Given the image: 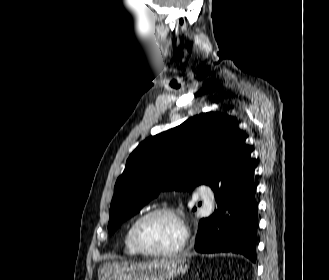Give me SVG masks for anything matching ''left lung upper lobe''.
<instances>
[{"label":"left lung upper lobe","mask_w":329,"mask_h":280,"mask_svg":"<svg viewBox=\"0 0 329 280\" xmlns=\"http://www.w3.org/2000/svg\"><path fill=\"white\" fill-rule=\"evenodd\" d=\"M244 145L237 123L217 112L201 113L145 139L131 153L116 181L109 234L160 190H186L199 184L209 185L213 191L225 187L240 169Z\"/></svg>","instance_id":"1"}]
</instances>
